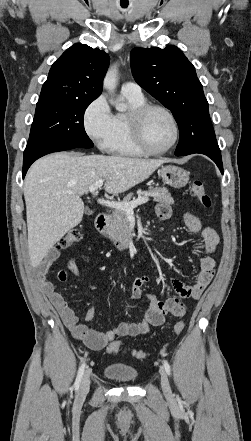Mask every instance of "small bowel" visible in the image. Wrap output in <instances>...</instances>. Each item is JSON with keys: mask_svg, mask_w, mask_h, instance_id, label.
Returning <instances> with one entry per match:
<instances>
[{"mask_svg": "<svg viewBox=\"0 0 251 441\" xmlns=\"http://www.w3.org/2000/svg\"><path fill=\"white\" fill-rule=\"evenodd\" d=\"M156 215L160 220H167L171 216V210L168 205L159 204L156 207ZM183 221L192 233L200 234L203 240V249L206 254L212 253L217 248L219 237L213 228L203 227L201 219L191 213H185ZM58 256L59 252L57 250H51L47 256L35 266L38 283L44 294L58 310L65 326L73 337L92 350L103 349L112 343L116 337H135L145 334L151 327L162 325L167 314H172L177 317L183 316L186 311L183 300L199 299L210 284L215 270V260L209 255L203 256L200 259V269L194 284L186 285L178 279H172L171 285L177 296L160 300L154 294L147 293L146 297L149 304L142 321L123 322L106 332H100L88 327L86 324L79 323L75 311L69 306L66 298L55 290L54 285L50 281L46 280V273ZM68 268L73 274L78 273V266L74 258L68 261ZM149 281L150 277L148 275L136 277L130 288L131 298L139 300L143 295L142 288L144 284ZM94 314V308L90 306L86 312L85 320L90 322Z\"/></svg>", "mask_w": 251, "mask_h": 441, "instance_id": "small-bowel-1", "label": "small bowel"}]
</instances>
